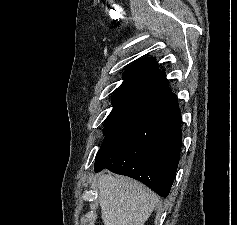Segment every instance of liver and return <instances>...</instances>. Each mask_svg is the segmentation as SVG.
Returning a JSON list of instances; mask_svg holds the SVG:
<instances>
[{"mask_svg":"<svg viewBox=\"0 0 237 225\" xmlns=\"http://www.w3.org/2000/svg\"><path fill=\"white\" fill-rule=\"evenodd\" d=\"M97 186L104 225H144L159 202L152 190L128 177L102 174Z\"/></svg>","mask_w":237,"mask_h":225,"instance_id":"liver-1","label":"liver"}]
</instances>
